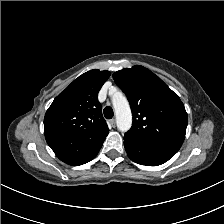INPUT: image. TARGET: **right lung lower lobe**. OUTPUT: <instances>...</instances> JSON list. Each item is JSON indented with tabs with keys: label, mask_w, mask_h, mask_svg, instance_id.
Instances as JSON below:
<instances>
[{
	"label": "right lung lower lobe",
	"mask_w": 224,
	"mask_h": 224,
	"mask_svg": "<svg viewBox=\"0 0 224 224\" xmlns=\"http://www.w3.org/2000/svg\"><path fill=\"white\" fill-rule=\"evenodd\" d=\"M46 141L56 156L69 165H82L92 160L99 152L104 140L90 142L73 135L50 131Z\"/></svg>",
	"instance_id": "right-lung-lower-lobe-1"
}]
</instances>
